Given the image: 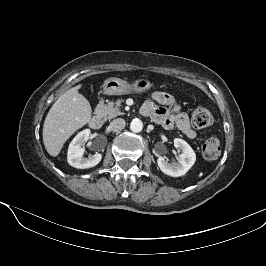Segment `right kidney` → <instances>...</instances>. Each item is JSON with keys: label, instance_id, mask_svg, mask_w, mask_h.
I'll list each match as a JSON object with an SVG mask.
<instances>
[{"label": "right kidney", "instance_id": "right-kidney-1", "mask_svg": "<svg viewBox=\"0 0 266 266\" xmlns=\"http://www.w3.org/2000/svg\"><path fill=\"white\" fill-rule=\"evenodd\" d=\"M89 135L90 130L85 129L79 132L71 141L67 154V160L71 166L86 169L96 166L101 161L102 155L100 153H96L88 158L83 157L85 149L82 146L89 139Z\"/></svg>", "mask_w": 266, "mask_h": 266}]
</instances>
